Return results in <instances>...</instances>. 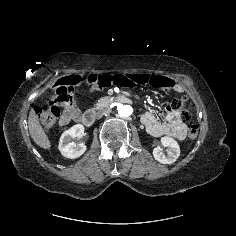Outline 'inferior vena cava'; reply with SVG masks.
I'll return each mask as SVG.
<instances>
[{"mask_svg":"<svg viewBox=\"0 0 236 236\" xmlns=\"http://www.w3.org/2000/svg\"><path fill=\"white\" fill-rule=\"evenodd\" d=\"M96 117L101 118L102 117V112L97 113Z\"/></svg>","mask_w":236,"mask_h":236,"instance_id":"602c4592","label":"inferior vena cava"}]
</instances>
